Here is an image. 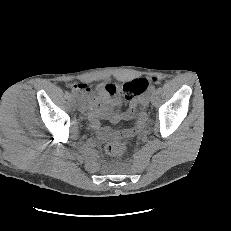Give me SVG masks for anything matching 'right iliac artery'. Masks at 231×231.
<instances>
[{
    "label": "right iliac artery",
    "instance_id": "1",
    "mask_svg": "<svg viewBox=\"0 0 231 231\" xmlns=\"http://www.w3.org/2000/svg\"><path fill=\"white\" fill-rule=\"evenodd\" d=\"M71 93H72L74 96H76V95H77V91H76V90H74V89H72V90H71Z\"/></svg>",
    "mask_w": 231,
    "mask_h": 231
}]
</instances>
